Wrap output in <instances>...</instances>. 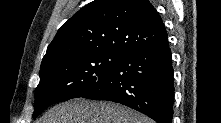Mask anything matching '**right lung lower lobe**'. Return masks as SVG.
I'll return each mask as SVG.
<instances>
[{"instance_id": "98d812e1", "label": "right lung lower lobe", "mask_w": 221, "mask_h": 123, "mask_svg": "<svg viewBox=\"0 0 221 123\" xmlns=\"http://www.w3.org/2000/svg\"><path fill=\"white\" fill-rule=\"evenodd\" d=\"M173 74L166 42L128 53L103 83L81 97L121 103L158 123H172Z\"/></svg>"}]
</instances>
